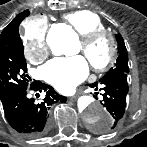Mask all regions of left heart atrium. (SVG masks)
<instances>
[{"instance_id": "1", "label": "left heart atrium", "mask_w": 147, "mask_h": 147, "mask_svg": "<svg viewBox=\"0 0 147 147\" xmlns=\"http://www.w3.org/2000/svg\"><path fill=\"white\" fill-rule=\"evenodd\" d=\"M89 66L82 56L55 58L42 68L43 78L62 92L70 91L88 75Z\"/></svg>"}]
</instances>
